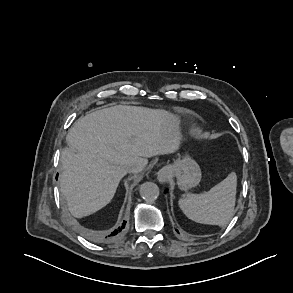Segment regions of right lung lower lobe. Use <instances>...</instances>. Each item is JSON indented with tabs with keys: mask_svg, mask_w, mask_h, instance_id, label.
I'll return each mask as SVG.
<instances>
[{
	"mask_svg": "<svg viewBox=\"0 0 293 293\" xmlns=\"http://www.w3.org/2000/svg\"><path fill=\"white\" fill-rule=\"evenodd\" d=\"M126 222H123L122 225L120 227H118L117 229H115V231H113L108 237L109 240H115L116 238H118L121 234V231L125 228ZM107 238V237H106Z\"/></svg>",
	"mask_w": 293,
	"mask_h": 293,
	"instance_id": "right-lung-lower-lobe-1",
	"label": "right lung lower lobe"
}]
</instances>
